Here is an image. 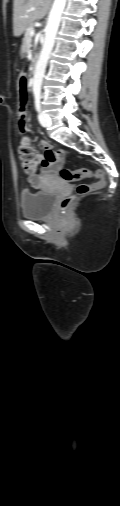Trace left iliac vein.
<instances>
[{"mask_svg": "<svg viewBox=\"0 0 120 506\" xmlns=\"http://www.w3.org/2000/svg\"><path fill=\"white\" fill-rule=\"evenodd\" d=\"M38 118H39V122H40V124H41L43 127H47V126H48V122H49V121H48V118H47V116H46L45 114H43V113H39Z\"/></svg>", "mask_w": 120, "mask_h": 506, "instance_id": "left-iliac-vein-1", "label": "left iliac vein"}]
</instances>
